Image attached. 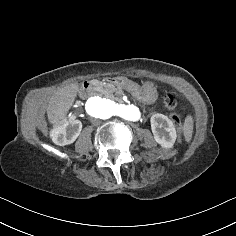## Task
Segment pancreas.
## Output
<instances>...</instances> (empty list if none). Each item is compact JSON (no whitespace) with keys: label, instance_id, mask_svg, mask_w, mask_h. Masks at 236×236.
Instances as JSON below:
<instances>
[{"label":"pancreas","instance_id":"cf45deb5","mask_svg":"<svg viewBox=\"0 0 236 236\" xmlns=\"http://www.w3.org/2000/svg\"><path fill=\"white\" fill-rule=\"evenodd\" d=\"M94 84H95L96 90L99 91L98 93H99L100 97H106V98H110V99H115V98H117V95H114L113 94L114 92L118 91L119 95L123 94L122 89L114 88L111 85H106L105 83H103L101 81L95 80ZM142 108H144L143 105H142Z\"/></svg>","mask_w":236,"mask_h":236}]
</instances>
